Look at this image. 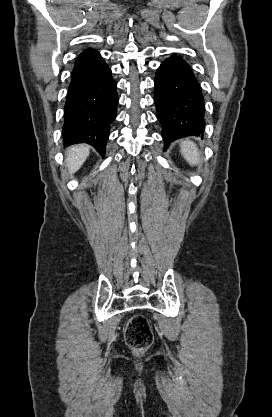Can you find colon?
<instances>
[{"mask_svg": "<svg viewBox=\"0 0 272 417\" xmlns=\"http://www.w3.org/2000/svg\"><path fill=\"white\" fill-rule=\"evenodd\" d=\"M153 331L148 319L143 315H134L127 322L125 340L134 351L142 353L153 342Z\"/></svg>", "mask_w": 272, "mask_h": 417, "instance_id": "colon-1", "label": "colon"}]
</instances>
